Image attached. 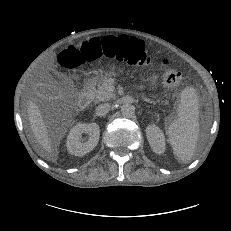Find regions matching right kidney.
Instances as JSON below:
<instances>
[{
    "mask_svg": "<svg viewBox=\"0 0 231 231\" xmlns=\"http://www.w3.org/2000/svg\"><path fill=\"white\" fill-rule=\"evenodd\" d=\"M88 134L84 141L82 134ZM100 136L99 125L96 123H78L69 132L67 137V150L75 156H83L92 151L98 144Z\"/></svg>",
    "mask_w": 231,
    "mask_h": 231,
    "instance_id": "obj_1",
    "label": "right kidney"
}]
</instances>
